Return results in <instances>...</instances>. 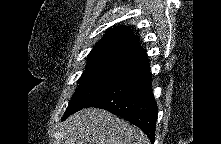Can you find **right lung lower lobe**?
I'll use <instances>...</instances> for the list:
<instances>
[{"label": "right lung lower lobe", "mask_w": 221, "mask_h": 144, "mask_svg": "<svg viewBox=\"0 0 221 144\" xmlns=\"http://www.w3.org/2000/svg\"><path fill=\"white\" fill-rule=\"evenodd\" d=\"M88 107L105 109L124 118L143 130L153 143L158 108L152 94L147 57L127 76L98 95L84 108Z\"/></svg>", "instance_id": "obj_1"}]
</instances>
